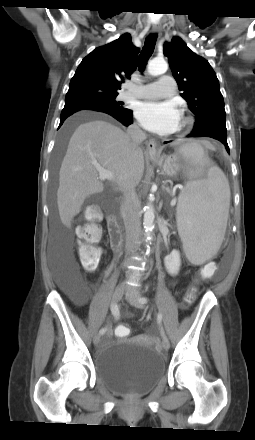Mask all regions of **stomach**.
Listing matches in <instances>:
<instances>
[{
  "label": "stomach",
  "instance_id": "obj_1",
  "mask_svg": "<svg viewBox=\"0 0 255 440\" xmlns=\"http://www.w3.org/2000/svg\"><path fill=\"white\" fill-rule=\"evenodd\" d=\"M193 144H188L183 146L182 148H187L192 146ZM150 159L155 162L158 166H160L166 175L168 176H176L183 168L180 157L177 154L170 156H156L150 157Z\"/></svg>",
  "mask_w": 255,
  "mask_h": 440
}]
</instances>
